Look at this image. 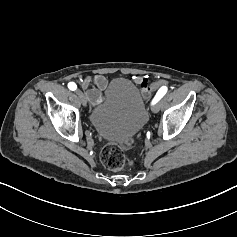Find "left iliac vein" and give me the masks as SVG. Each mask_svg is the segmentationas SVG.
<instances>
[{
  "instance_id": "obj_1",
  "label": "left iliac vein",
  "mask_w": 237,
  "mask_h": 237,
  "mask_svg": "<svg viewBox=\"0 0 237 237\" xmlns=\"http://www.w3.org/2000/svg\"><path fill=\"white\" fill-rule=\"evenodd\" d=\"M159 108H160V106H159V104H154L153 105V108H152V111L154 112V113H157L158 111H159Z\"/></svg>"
}]
</instances>
